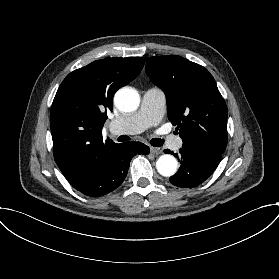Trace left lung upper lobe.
Segmentation results:
<instances>
[{"instance_id": "1", "label": "left lung upper lobe", "mask_w": 279, "mask_h": 279, "mask_svg": "<svg viewBox=\"0 0 279 279\" xmlns=\"http://www.w3.org/2000/svg\"><path fill=\"white\" fill-rule=\"evenodd\" d=\"M146 73L166 94L168 118L183 146L222 154L227 146V106L213 76L181 56L148 57Z\"/></svg>"}]
</instances>
